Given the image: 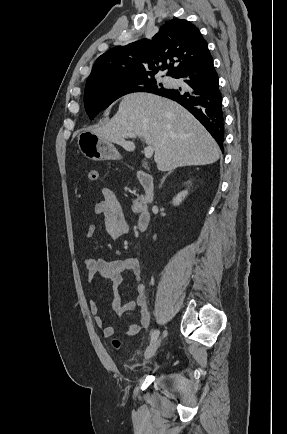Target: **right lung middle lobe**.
Masks as SVG:
<instances>
[{"instance_id": "right-lung-middle-lobe-1", "label": "right lung middle lobe", "mask_w": 287, "mask_h": 434, "mask_svg": "<svg viewBox=\"0 0 287 434\" xmlns=\"http://www.w3.org/2000/svg\"><path fill=\"white\" fill-rule=\"evenodd\" d=\"M164 89L161 83L156 82L154 75L92 82L85 86L84 106L90 119H93L123 95L132 92L152 93Z\"/></svg>"}]
</instances>
